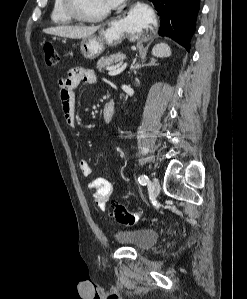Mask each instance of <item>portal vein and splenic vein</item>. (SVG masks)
<instances>
[{"mask_svg":"<svg viewBox=\"0 0 247 299\" xmlns=\"http://www.w3.org/2000/svg\"><path fill=\"white\" fill-rule=\"evenodd\" d=\"M126 66H127V63H124L120 66L107 68L109 70L108 74L110 76L118 75L126 68Z\"/></svg>","mask_w":247,"mask_h":299,"instance_id":"18ae733b","label":"portal vein and splenic vein"}]
</instances>
